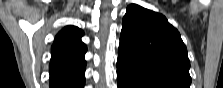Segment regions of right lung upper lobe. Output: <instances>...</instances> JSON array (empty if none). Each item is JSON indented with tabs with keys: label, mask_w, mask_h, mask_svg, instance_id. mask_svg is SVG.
I'll return each mask as SVG.
<instances>
[{
	"label": "right lung upper lobe",
	"mask_w": 223,
	"mask_h": 88,
	"mask_svg": "<svg viewBox=\"0 0 223 88\" xmlns=\"http://www.w3.org/2000/svg\"><path fill=\"white\" fill-rule=\"evenodd\" d=\"M82 35L83 31L76 26H66L56 35L51 48L50 88H71L85 79L87 48L81 41Z\"/></svg>",
	"instance_id": "cb5924a9"
}]
</instances>
